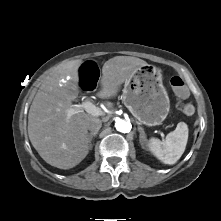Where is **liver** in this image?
<instances>
[{
	"label": "liver",
	"instance_id": "6515ba94",
	"mask_svg": "<svg viewBox=\"0 0 221 221\" xmlns=\"http://www.w3.org/2000/svg\"><path fill=\"white\" fill-rule=\"evenodd\" d=\"M81 60L69 62L58 74L48 77L40 86L28 114V135L40 157L51 166L70 169L78 165L91 149L87 124L98 119L79 112L68 116L79 94L78 69ZM147 63L139 58L116 56L102 67L101 95L116 96L120 86ZM60 76L70 80L60 82ZM110 109L113 104L106 103Z\"/></svg>",
	"mask_w": 221,
	"mask_h": 221
}]
</instances>
